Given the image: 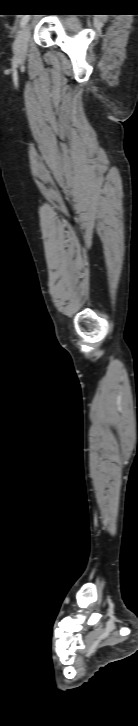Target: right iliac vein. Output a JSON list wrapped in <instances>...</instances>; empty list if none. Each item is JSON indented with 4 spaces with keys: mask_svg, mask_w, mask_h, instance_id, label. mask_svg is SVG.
<instances>
[{
    "mask_svg": "<svg viewBox=\"0 0 138 726\" xmlns=\"http://www.w3.org/2000/svg\"><path fill=\"white\" fill-rule=\"evenodd\" d=\"M31 28L30 25H26L20 32L18 38L14 44L15 58L19 61L24 60L27 52L28 40L30 38Z\"/></svg>",
    "mask_w": 138,
    "mask_h": 726,
    "instance_id": "right-iliac-vein-1",
    "label": "right iliac vein"
}]
</instances>
